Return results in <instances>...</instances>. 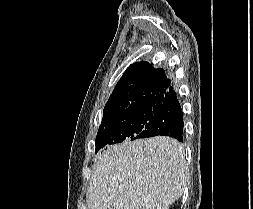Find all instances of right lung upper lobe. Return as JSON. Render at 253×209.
<instances>
[{
	"label": "right lung upper lobe",
	"mask_w": 253,
	"mask_h": 209,
	"mask_svg": "<svg viewBox=\"0 0 253 209\" xmlns=\"http://www.w3.org/2000/svg\"><path fill=\"white\" fill-rule=\"evenodd\" d=\"M171 85L162 68L156 69L144 61L130 65L104 107L102 122L135 108L153 106Z\"/></svg>",
	"instance_id": "1"
}]
</instances>
